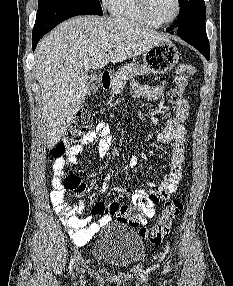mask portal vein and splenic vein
<instances>
[{"mask_svg":"<svg viewBox=\"0 0 233 286\" xmlns=\"http://www.w3.org/2000/svg\"><path fill=\"white\" fill-rule=\"evenodd\" d=\"M111 49V46L110 45H108V46H106L105 48H104V51H109Z\"/></svg>","mask_w":233,"mask_h":286,"instance_id":"18ae733b","label":"portal vein and splenic vein"}]
</instances>
